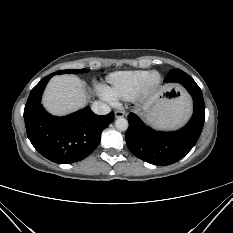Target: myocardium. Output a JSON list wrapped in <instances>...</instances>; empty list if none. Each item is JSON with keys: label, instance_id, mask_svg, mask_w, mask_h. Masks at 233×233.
I'll use <instances>...</instances> for the list:
<instances>
[{"label": "myocardium", "instance_id": "obj_1", "mask_svg": "<svg viewBox=\"0 0 233 233\" xmlns=\"http://www.w3.org/2000/svg\"><path fill=\"white\" fill-rule=\"evenodd\" d=\"M161 83L160 74L157 72H150L145 78L142 87L137 94L140 98H145L154 93Z\"/></svg>", "mask_w": 233, "mask_h": 233}]
</instances>
